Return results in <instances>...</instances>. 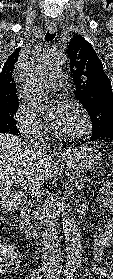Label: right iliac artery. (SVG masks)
<instances>
[{
    "mask_svg": "<svg viewBox=\"0 0 113 279\" xmlns=\"http://www.w3.org/2000/svg\"><path fill=\"white\" fill-rule=\"evenodd\" d=\"M41 269H35L32 271L31 278L30 279H41Z\"/></svg>",
    "mask_w": 113,
    "mask_h": 279,
    "instance_id": "right-iliac-artery-1",
    "label": "right iliac artery"
}]
</instances>
